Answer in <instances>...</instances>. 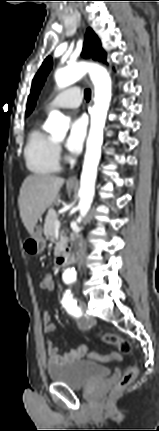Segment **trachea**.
I'll return each instance as SVG.
<instances>
[{
    "label": "trachea",
    "mask_w": 159,
    "mask_h": 431,
    "mask_svg": "<svg viewBox=\"0 0 159 431\" xmlns=\"http://www.w3.org/2000/svg\"><path fill=\"white\" fill-rule=\"evenodd\" d=\"M84 97H85V99H86L87 102L90 100V98H91V91H90V89H86L85 90Z\"/></svg>",
    "instance_id": "obj_1"
}]
</instances>
